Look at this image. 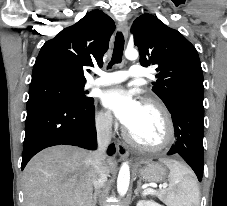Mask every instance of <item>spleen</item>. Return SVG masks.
<instances>
[{"instance_id":"1","label":"spleen","mask_w":227,"mask_h":206,"mask_svg":"<svg viewBox=\"0 0 227 206\" xmlns=\"http://www.w3.org/2000/svg\"><path fill=\"white\" fill-rule=\"evenodd\" d=\"M170 169L169 188L161 192L167 206H198L200 190L191 171L180 162L161 159Z\"/></svg>"}]
</instances>
